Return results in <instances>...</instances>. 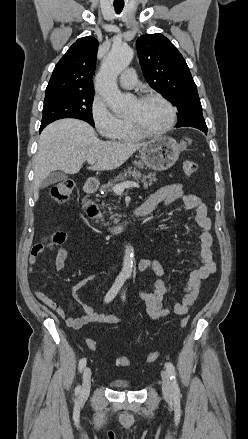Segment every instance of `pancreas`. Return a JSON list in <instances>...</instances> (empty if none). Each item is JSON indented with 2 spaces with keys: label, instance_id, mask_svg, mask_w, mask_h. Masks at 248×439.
<instances>
[{
  "label": "pancreas",
  "instance_id": "obj_1",
  "mask_svg": "<svg viewBox=\"0 0 248 439\" xmlns=\"http://www.w3.org/2000/svg\"><path fill=\"white\" fill-rule=\"evenodd\" d=\"M130 177H133L134 180L141 179V182L144 184V188H148L149 186L152 185L153 181H156V174L155 173H149L148 175H142L139 170H137L136 168L130 167L128 169H125L123 171V173H120L117 177H115L113 180L109 181L107 184L102 185L100 189L105 191L106 193H108V191H110V189L113 188L115 183H117L119 181H125L126 179H128ZM113 208L114 209L117 208L115 206V204H113ZM109 209L111 210V207H109ZM120 217H121L120 214L112 215V212L110 214V218L114 219L113 220L114 224H116L120 221ZM103 225L109 226L110 222H106Z\"/></svg>",
  "mask_w": 248,
  "mask_h": 439
}]
</instances>
